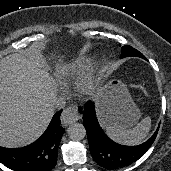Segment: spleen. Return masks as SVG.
Here are the masks:
<instances>
[{
  "mask_svg": "<svg viewBox=\"0 0 171 171\" xmlns=\"http://www.w3.org/2000/svg\"><path fill=\"white\" fill-rule=\"evenodd\" d=\"M109 137L124 145H139L147 137L151 129V118L145 117L132 129H122L103 125Z\"/></svg>",
  "mask_w": 171,
  "mask_h": 171,
  "instance_id": "spleen-1",
  "label": "spleen"
}]
</instances>
